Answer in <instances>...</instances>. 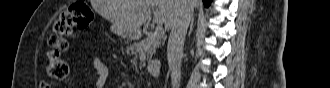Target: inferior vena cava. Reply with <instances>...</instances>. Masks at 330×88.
Returning <instances> with one entry per match:
<instances>
[{
    "label": "inferior vena cava",
    "instance_id": "inferior-vena-cava-1",
    "mask_svg": "<svg viewBox=\"0 0 330 88\" xmlns=\"http://www.w3.org/2000/svg\"><path fill=\"white\" fill-rule=\"evenodd\" d=\"M193 9L190 0H181V7L171 27L167 46V58L171 72L172 88H179L180 86L184 41L193 16Z\"/></svg>",
    "mask_w": 330,
    "mask_h": 88
}]
</instances>
